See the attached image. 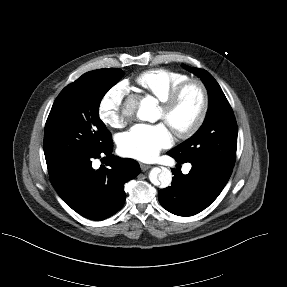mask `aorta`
<instances>
[{"mask_svg": "<svg viewBox=\"0 0 287 287\" xmlns=\"http://www.w3.org/2000/svg\"><path fill=\"white\" fill-rule=\"evenodd\" d=\"M155 108L156 103L152 98L140 99L136 96H131L124 104L123 114L131 116L136 113L140 120L150 121ZM172 177L171 171L165 167H155L149 173L151 183L161 188L170 186Z\"/></svg>", "mask_w": 287, "mask_h": 287, "instance_id": "762f6f07", "label": "aorta"}]
</instances>
